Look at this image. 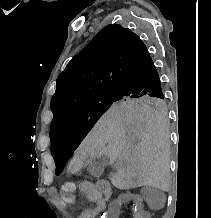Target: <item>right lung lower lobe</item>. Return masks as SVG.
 <instances>
[{
	"instance_id": "1",
	"label": "right lung lower lobe",
	"mask_w": 211,
	"mask_h": 218,
	"mask_svg": "<svg viewBox=\"0 0 211 218\" xmlns=\"http://www.w3.org/2000/svg\"><path fill=\"white\" fill-rule=\"evenodd\" d=\"M116 94L123 97H163L160 78L149 56L119 84Z\"/></svg>"
}]
</instances>
